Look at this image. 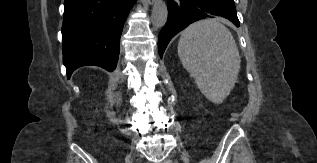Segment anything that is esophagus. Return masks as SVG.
Wrapping results in <instances>:
<instances>
[{
  "instance_id": "34e87169",
  "label": "esophagus",
  "mask_w": 317,
  "mask_h": 163,
  "mask_svg": "<svg viewBox=\"0 0 317 163\" xmlns=\"http://www.w3.org/2000/svg\"><path fill=\"white\" fill-rule=\"evenodd\" d=\"M148 4H153L155 0H145Z\"/></svg>"
}]
</instances>
